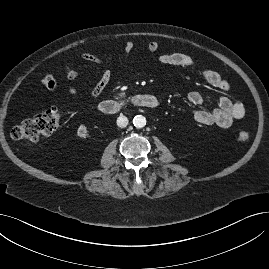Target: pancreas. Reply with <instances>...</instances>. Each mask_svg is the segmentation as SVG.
Returning <instances> with one entry per match:
<instances>
[{
	"mask_svg": "<svg viewBox=\"0 0 269 269\" xmlns=\"http://www.w3.org/2000/svg\"><path fill=\"white\" fill-rule=\"evenodd\" d=\"M120 96H121V97H123V96H124V94L122 93V94H120Z\"/></svg>",
	"mask_w": 269,
	"mask_h": 269,
	"instance_id": "cf45deb5",
	"label": "pancreas"
}]
</instances>
